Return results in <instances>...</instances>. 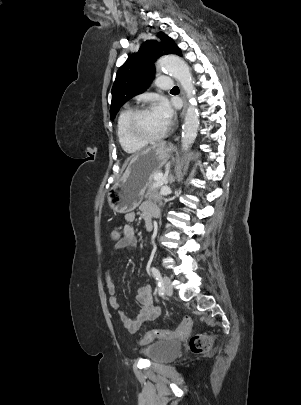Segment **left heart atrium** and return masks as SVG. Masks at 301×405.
Wrapping results in <instances>:
<instances>
[{
    "label": "left heart atrium",
    "mask_w": 301,
    "mask_h": 405,
    "mask_svg": "<svg viewBox=\"0 0 301 405\" xmlns=\"http://www.w3.org/2000/svg\"><path fill=\"white\" fill-rule=\"evenodd\" d=\"M153 110L167 123H169L173 117V110L169 102L164 98H160L155 102Z\"/></svg>",
    "instance_id": "1"
}]
</instances>
